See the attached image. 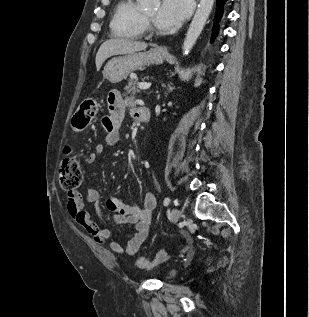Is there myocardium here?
Wrapping results in <instances>:
<instances>
[{"label": "myocardium", "mask_w": 309, "mask_h": 317, "mask_svg": "<svg viewBox=\"0 0 309 317\" xmlns=\"http://www.w3.org/2000/svg\"><path fill=\"white\" fill-rule=\"evenodd\" d=\"M144 20H145V23H147L148 25L152 24V20L147 15H144Z\"/></svg>", "instance_id": "myocardium-1"}]
</instances>
